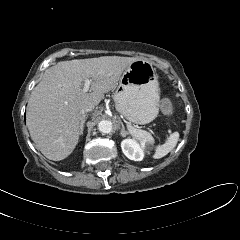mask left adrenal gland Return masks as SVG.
Here are the masks:
<instances>
[{"label": "left adrenal gland", "instance_id": "obj_1", "mask_svg": "<svg viewBox=\"0 0 240 240\" xmlns=\"http://www.w3.org/2000/svg\"><path fill=\"white\" fill-rule=\"evenodd\" d=\"M121 126H122V128H121V136L125 137L128 134V132L125 130L124 124L122 122H121Z\"/></svg>", "mask_w": 240, "mask_h": 240}]
</instances>
